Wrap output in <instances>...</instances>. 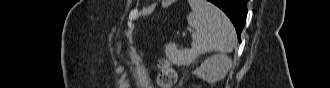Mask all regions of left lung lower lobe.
Instances as JSON below:
<instances>
[{
  "label": "left lung lower lobe",
  "instance_id": "left-lung-lower-lobe-1",
  "mask_svg": "<svg viewBox=\"0 0 330 88\" xmlns=\"http://www.w3.org/2000/svg\"><path fill=\"white\" fill-rule=\"evenodd\" d=\"M223 10L235 26L237 37L240 41V34L244 27L247 16L248 0H208Z\"/></svg>",
  "mask_w": 330,
  "mask_h": 88
}]
</instances>
